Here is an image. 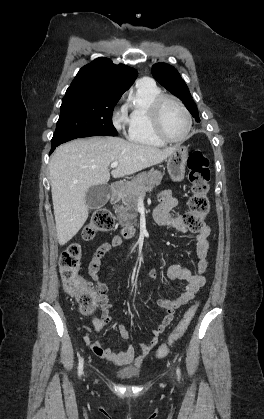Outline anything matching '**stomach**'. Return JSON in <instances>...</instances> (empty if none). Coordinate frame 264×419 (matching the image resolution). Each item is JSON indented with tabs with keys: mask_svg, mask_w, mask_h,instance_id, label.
I'll list each match as a JSON object with an SVG mask.
<instances>
[{
	"mask_svg": "<svg viewBox=\"0 0 264 419\" xmlns=\"http://www.w3.org/2000/svg\"><path fill=\"white\" fill-rule=\"evenodd\" d=\"M187 158L188 148L180 145L175 146L173 153L167 160V170L173 181L179 182L183 180Z\"/></svg>",
	"mask_w": 264,
	"mask_h": 419,
	"instance_id": "1",
	"label": "stomach"
}]
</instances>
